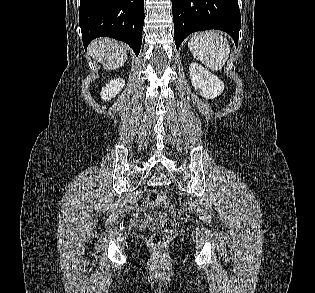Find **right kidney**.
Wrapping results in <instances>:
<instances>
[{
	"label": "right kidney",
	"mask_w": 315,
	"mask_h": 293,
	"mask_svg": "<svg viewBox=\"0 0 315 293\" xmlns=\"http://www.w3.org/2000/svg\"><path fill=\"white\" fill-rule=\"evenodd\" d=\"M124 85L125 81L122 78L111 80L105 87L102 88L101 98L105 101H109L123 89Z\"/></svg>",
	"instance_id": "ca27d5eb"
}]
</instances>
